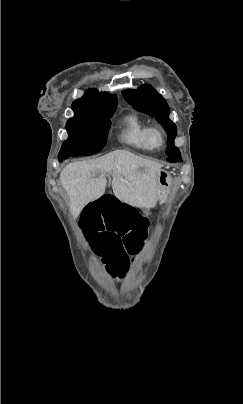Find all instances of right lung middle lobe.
Returning <instances> with one entry per match:
<instances>
[{"label": "right lung middle lobe", "instance_id": "obj_1", "mask_svg": "<svg viewBox=\"0 0 243 404\" xmlns=\"http://www.w3.org/2000/svg\"><path fill=\"white\" fill-rule=\"evenodd\" d=\"M116 107L92 114L75 115L69 119L66 129L69 138L63 142L58 160L86 156L101 151L107 140L110 127L109 118Z\"/></svg>", "mask_w": 243, "mask_h": 404}]
</instances>
